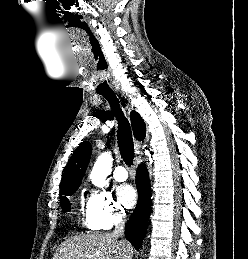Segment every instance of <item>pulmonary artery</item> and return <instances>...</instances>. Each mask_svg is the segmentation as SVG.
Instances as JSON below:
<instances>
[{
  "label": "pulmonary artery",
  "mask_w": 248,
  "mask_h": 259,
  "mask_svg": "<svg viewBox=\"0 0 248 259\" xmlns=\"http://www.w3.org/2000/svg\"><path fill=\"white\" fill-rule=\"evenodd\" d=\"M113 177L118 182H123L127 179L128 174L123 166H117L113 172Z\"/></svg>",
  "instance_id": "1"
}]
</instances>
